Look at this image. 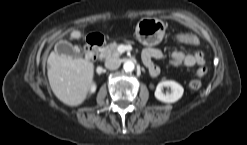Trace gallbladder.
<instances>
[{"instance_id":"gallbladder-1","label":"gallbladder","mask_w":247,"mask_h":145,"mask_svg":"<svg viewBox=\"0 0 247 145\" xmlns=\"http://www.w3.org/2000/svg\"><path fill=\"white\" fill-rule=\"evenodd\" d=\"M55 51L59 55H67L71 58L83 57L84 52L80 48L73 46L71 43L61 40L55 45Z\"/></svg>"}]
</instances>
